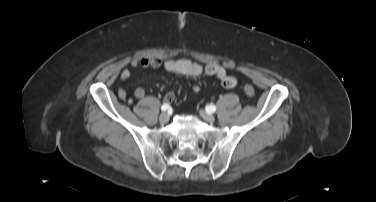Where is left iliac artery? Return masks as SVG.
Instances as JSON below:
<instances>
[{
	"label": "left iliac artery",
	"mask_w": 376,
	"mask_h": 202,
	"mask_svg": "<svg viewBox=\"0 0 376 202\" xmlns=\"http://www.w3.org/2000/svg\"><path fill=\"white\" fill-rule=\"evenodd\" d=\"M208 112H215L216 111V106L211 104L207 107Z\"/></svg>",
	"instance_id": "1"
}]
</instances>
